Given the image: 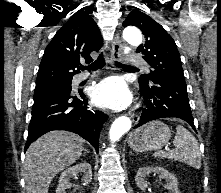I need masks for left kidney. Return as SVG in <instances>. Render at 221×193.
Here are the masks:
<instances>
[{"mask_svg": "<svg viewBox=\"0 0 221 193\" xmlns=\"http://www.w3.org/2000/svg\"><path fill=\"white\" fill-rule=\"evenodd\" d=\"M150 173L159 174V176L166 180L167 184L165 185V188L169 190L170 193H179L178 191V181L175 178V176L171 173H169L167 170H165L162 167H143L140 168L137 171L135 181L137 186L142 190H146L148 184L146 181V176H148Z\"/></svg>", "mask_w": 221, "mask_h": 193, "instance_id": "obj_1", "label": "left kidney"}]
</instances>
